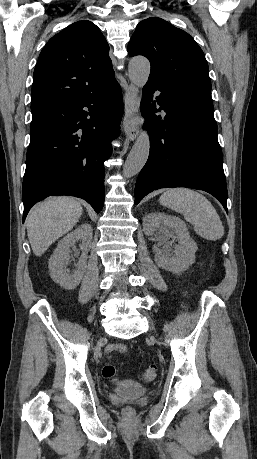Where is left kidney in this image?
<instances>
[{
	"mask_svg": "<svg viewBox=\"0 0 257 459\" xmlns=\"http://www.w3.org/2000/svg\"><path fill=\"white\" fill-rule=\"evenodd\" d=\"M143 231L148 236L156 234L160 243H165L169 238L178 240V245L172 248L170 245L154 247L159 267L180 274L195 262L197 245L180 218L160 212L150 213L143 219Z\"/></svg>",
	"mask_w": 257,
	"mask_h": 459,
	"instance_id": "1",
	"label": "left kidney"
}]
</instances>
